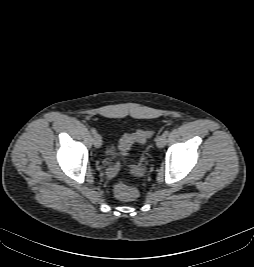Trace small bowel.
I'll list each match as a JSON object with an SVG mask.
<instances>
[{
	"label": "small bowel",
	"instance_id": "obj_1",
	"mask_svg": "<svg viewBox=\"0 0 254 267\" xmlns=\"http://www.w3.org/2000/svg\"><path fill=\"white\" fill-rule=\"evenodd\" d=\"M114 173V170L113 169H110L109 170V174L112 175Z\"/></svg>",
	"mask_w": 254,
	"mask_h": 267
}]
</instances>
